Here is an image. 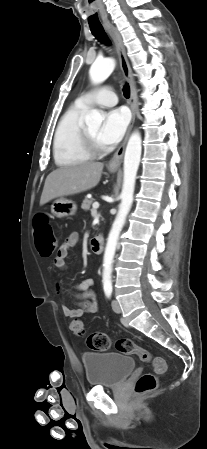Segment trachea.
Listing matches in <instances>:
<instances>
[{
	"label": "trachea",
	"instance_id": "3493384b",
	"mask_svg": "<svg viewBox=\"0 0 207 449\" xmlns=\"http://www.w3.org/2000/svg\"><path fill=\"white\" fill-rule=\"evenodd\" d=\"M90 30L92 32V34L101 42L105 43V44H110L109 39L107 37V35L104 32L103 27L100 26H91ZM123 94L126 98H129L130 96V87L128 84H125L123 87Z\"/></svg>",
	"mask_w": 207,
	"mask_h": 449
}]
</instances>
